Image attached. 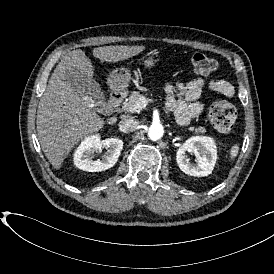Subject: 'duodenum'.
Listing matches in <instances>:
<instances>
[{"instance_id": "obj_1", "label": "duodenum", "mask_w": 274, "mask_h": 274, "mask_svg": "<svg viewBox=\"0 0 274 274\" xmlns=\"http://www.w3.org/2000/svg\"><path fill=\"white\" fill-rule=\"evenodd\" d=\"M123 94L119 92H113L110 97H109V107L112 110H117L119 109L121 103L123 102ZM113 122L117 120V115L113 114L111 116Z\"/></svg>"}]
</instances>
